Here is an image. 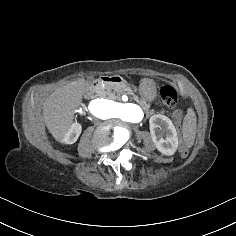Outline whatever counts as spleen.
Wrapping results in <instances>:
<instances>
[{"mask_svg": "<svg viewBox=\"0 0 236 236\" xmlns=\"http://www.w3.org/2000/svg\"><path fill=\"white\" fill-rule=\"evenodd\" d=\"M196 136V116L193 109H188L183 121V138L188 148L194 144Z\"/></svg>", "mask_w": 236, "mask_h": 236, "instance_id": "1", "label": "spleen"}]
</instances>
